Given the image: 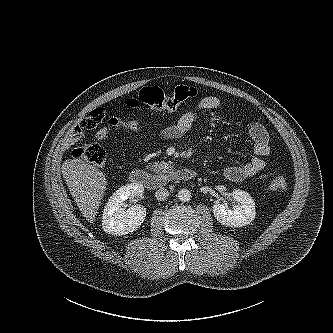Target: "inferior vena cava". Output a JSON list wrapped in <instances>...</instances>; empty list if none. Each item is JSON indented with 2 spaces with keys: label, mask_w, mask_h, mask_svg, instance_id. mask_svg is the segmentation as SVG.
I'll use <instances>...</instances> for the list:
<instances>
[{
  "label": "inferior vena cava",
  "mask_w": 333,
  "mask_h": 333,
  "mask_svg": "<svg viewBox=\"0 0 333 333\" xmlns=\"http://www.w3.org/2000/svg\"><path fill=\"white\" fill-rule=\"evenodd\" d=\"M169 196V192L167 189L165 188H159L156 192H155V197L157 200L162 201L165 200L167 197Z\"/></svg>",
  "instance_id": "inferior-vena-cava-1"
}]
</instances>
